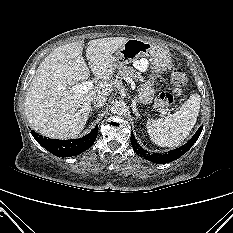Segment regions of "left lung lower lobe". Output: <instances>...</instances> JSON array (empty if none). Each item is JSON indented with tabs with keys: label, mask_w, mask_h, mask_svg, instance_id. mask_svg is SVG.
<instances>
[{
	"label": "left lung lower lobe",
	"mask_w": 233,
	"mask_h": 233,
	"mask_svg": "<svg viewBox=\"0 0 233 233\" xmlns=\"http://www.w3.org/2000/svg\"><path fill=\"white\" fill-rule=\"evenodd\" d=\"M202 129H203V127H200L186 145H184L178 149L171 150L165 154H159V153L149 154V152L147 150L143 149L137 143L136 139L134 138L133 132L131 135V144H132L134 151L139 156L144 157L146 160H149L153 163L165 164V163H169L171 161L178 159L185 152H187L194 145V143L197 141V139L199 138V136L202 132Z\"/></svg>",
	"instance_id": "left-lung-lower-lobe-1"
}]
</instances>
